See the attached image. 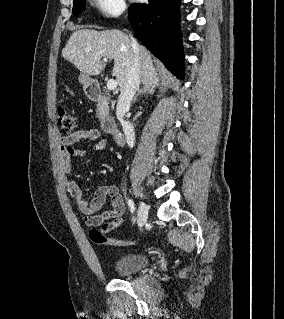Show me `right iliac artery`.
Masks as SVG:
<instances>
[{
	"mask_svg": "<svg viewBox=\"0 0 284 319\" xmlns=\"http://www.w3.org/2000/svg\"><path fill=\"white\" fill-rule=\"evenodd\" d=\"M127 203H128V206H129L131 213H134L135 212L134 202L131 199H128Z\"/></svg>",
	"mask_w": 284,
	"mask_h": 319,
	"instance_id": "right-iliac-artery-1",
	"label": "right iliac artery"
}]
</instances>
